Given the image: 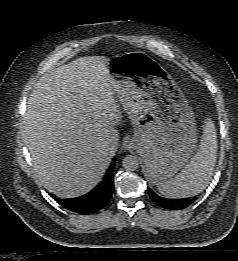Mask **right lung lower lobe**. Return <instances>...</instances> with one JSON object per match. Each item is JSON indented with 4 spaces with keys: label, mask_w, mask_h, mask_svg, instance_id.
Here are the masks:
<instances>
[{
    "label": "right lung lower lobe",
    "mask_w": 238,
    "mask_h": 261,
    "mask_svg": "<svg viewBox=\"0 0 238 261\" xmlns=\"http://www.w3.org/2000/svg\"><path fill=\"white\" fill-rule=\"evenodd\" d=\"M114 190L113 167L110 166L103 182L89 193L64 201L56 198V201L64 208L78 214H93L104 208L111 200Z\"/></svg>",
    "instance_id": "98d812e1"
}]
</instances>
